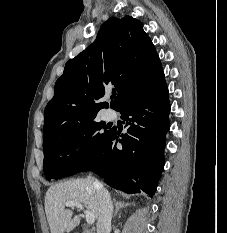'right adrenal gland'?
Here are the masks:
<instances>
[{
	"mask_svg": "<svg viewBox=\"0 0 227 233\" xmlns=\"http://www.w3.org/2000/svg\"><path fill=\"white\" fill-rule=\"evenodd\" d=\"M114 204H115V212L113 214V218L117 215V213L119 212L120 209L126 208V207L132 205L131 203H124V202L118 201L116 199H114Z\"/></svg>",
	"mask_w": 227,
	"mask_h": 233,
	"instance_id": "right-adrenal-gland-1",
	"label": "right adrenal gland"
}]
</instances>
